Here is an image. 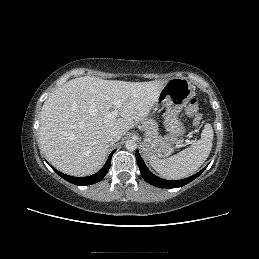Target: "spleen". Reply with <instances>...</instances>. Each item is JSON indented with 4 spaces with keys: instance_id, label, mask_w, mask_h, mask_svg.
<instances>
[{
    "instance_id": "spleen-1",
    "label": "spleen",
    "mask_w": 259,
    "mask_h": 259,
    "mask_svg": "<svg viewBox=\"0 0 259 259\" xmlns=\"http://www.w3.org/2000/svg\"><path fill=\"white\" fill-rule=\"evenodd\" d=\"M212 126L207 123L201 133V139L176 155L166 159L150 160L151 167L165 179L178 180L198 170L207 160L212 149Z\"/></svg>"
}]
</instances>
